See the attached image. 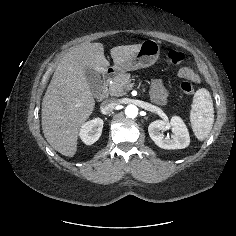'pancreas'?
Returning a JSON list of instances; mask_svg holds the SVG:
<instances>
[{
  "label": "pancreas",
  "mask_w": 236,
  "mask_h": 236,
  "mask_svg": "<svg viewBox=\"0 0 236 236\" xmlns=\"http://www.w3.org/2000/svg\"><path fill=\"white\" fill-rule=\"evenodd\" d=\"M131 74H119L109 85L108 93L110 96H123L126 94V91L131 87Z\"/></svg>",
  "instance_id": "1"
}]
</instances>
